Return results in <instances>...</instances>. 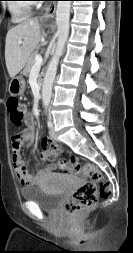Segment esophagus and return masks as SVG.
<instances>
[{"label": "esophagus", "instance_id": "1", "mask_svg": "<svg viewBox=\"0 0 133 253\" xmlns=\"http://www.w3.org/2000/svg\"><path fill=\"white\" fill-rule=\"evenodd\" d=\"M56 11V1H52L45 9V12L42 14V19H51L53 18Z\"/></svg>", "mask_w": 133, "mask_h": 253}]
</instances>
